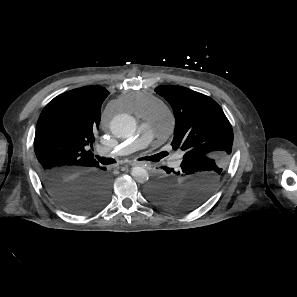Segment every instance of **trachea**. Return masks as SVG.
<instances>
[{"mask_svg": "<svg viewBox=\"0 0 297 297\" xmlns=\"http://www.w3.org/2000/svg\"><path fill=\"white\" fill-rule=\"evenodd\" d=\"M96 158L103 165H109V164H113L115 162V160L112 159V158H105V157H100V156H96ZM139 160H149V158L148 157H144V158H140Z\"/></svg>", "mask_w": 297, "mask_h": 297, "instance_id": "1", "label": "trachea"}]
</instances>
